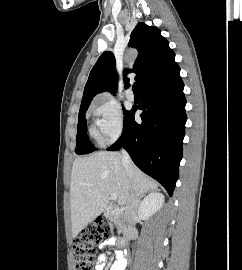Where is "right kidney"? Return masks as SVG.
<instances>
[{
    "label": "right kidney",
    "instance_id": "right-kidney-1",
    "mask_svg": "<svg viewBox=\"0 0 242 270\" xmlns=\"http://www.w3.org/2000/svg\"><path fill=\"white\" fill-rule=\"evenodd\" d=\"M164 203V196L158 192H152L147 195L140 203L138 213L143 219H149L158 210L161 209Z\"/></svg>",
    "mask_w": 242,
    "mask_h": 270
}]
</instances>
